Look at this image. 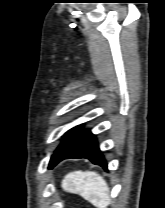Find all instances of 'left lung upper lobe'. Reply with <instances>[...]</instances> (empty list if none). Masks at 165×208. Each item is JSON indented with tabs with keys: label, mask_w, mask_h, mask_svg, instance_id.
<instances>
[{
	"label": "left lung upper lobe",
	"mask_w": 165,
	"mask_h": 208,
	"mask_svg": "<svg viewBox=\"0 0 165 208\" xmlns=\"http://www.w3.org/2000/svg\"><path fill=\"white\" fill-rule=\"evenodd\" d=\"M81 129L82 125H79L66 132L64 139L62 140V143L55 150L54 154L50 159L49 168L54 167L58 162L61 161L62 157L70 149L71 145L73 144Z\"/></svg>",
	"instance_id": "5c2ea615"
}]
</instances>
